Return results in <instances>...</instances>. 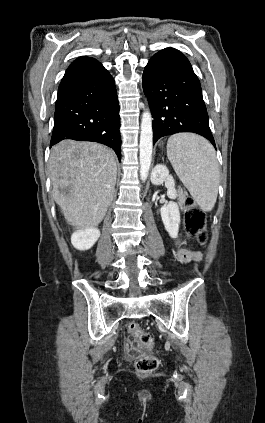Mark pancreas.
<instances>
[{
    "label": "pancreas",
    "instance_id": "pancreas-1",
    "mask_svg": "<svg viewBox=\"0 0 265 423\" xmlns=\"http://www.w3.org/2000/svg\"><path fill=\"white\" fill-rule=\"evenodd\" d=\"M181 194L183 195V193L181 192ZM181 203H183V199L181 200Z\"/></svg>",
    "mask_w": 265,
    "mask_h": 423
}]
</instances>
